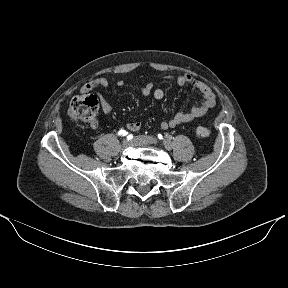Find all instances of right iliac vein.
Here are the masks:
<instances>
[{"mask_svg":"<svg viewBox=\"0 0 288 288\" xmlns=\"http://www.w3.org/2000/svg\"><path fill=\"white\" fill-rule=\"evenodd\" d=\"M132 144V142H130V141H124L123 143H122V149H124V148H126V147H128V146H130Z\"/></svg>","mask_w":288,"mask_h":288,"instance_id":"right-iliac-vein-1","label":"right iliac vein"}]
</instances>
